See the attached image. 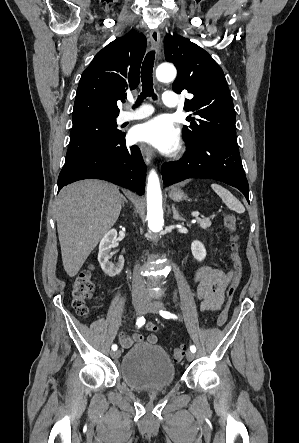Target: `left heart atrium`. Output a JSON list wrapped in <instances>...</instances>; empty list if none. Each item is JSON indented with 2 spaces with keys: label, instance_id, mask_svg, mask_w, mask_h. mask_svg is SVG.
<instances>
[{
  "label": "left heart atrium",
  "instance_id": "left-heart-atrium-1",
  "mask_svg": "<svg viewBox=\"0 0 299 443\" xmlns=\"http://www.w3.org/2000/svg\"><path fill=\"white\" fill-rule=\"evenodd\" d=\"M131 139L134 142L154 144L165 152H171L178 145L179 134L170 120L161 116L134 128Z\"/></svg>",
  "mask_w": 299,
  "mask_h": 443
}]
</instances>
